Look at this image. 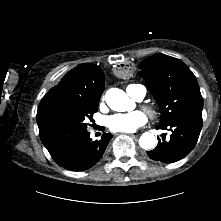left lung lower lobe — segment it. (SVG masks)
<instances>
[{
    "mask_svg": "<svg viewBox=\"0 0 221 221\" xmlns=\"http://www.w3.org/2000/svg\"><path fill=\"white\" fill-rule=\"evenodd\" d=\"M202 111H192L182 116L173 118L167 124H160L162 129L169 128L172 131L170 139L158 138V145L155 149L148 151V156L163 163H173L183 159L195 147L202 129ZM172 151L165 154V150Z\"/></svg>",
    "mask_w": 221,
    "mask_h": 221,
    "instance_id": "obj_1",
    "label": "left lung lower lobe"
}]
</instances>
